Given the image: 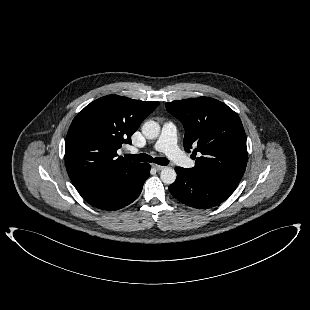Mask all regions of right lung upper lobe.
Returning a JSON list of instances; mask_svg holds the SVG:
<instances>
[{
    "label": "right lung upper lobe",
    "instance_id": "1",
    "mask_svg": "<svg viewBox=\"0 0 310 310\" xmlns=\"http://www.w3.org/2000/svg\"><path fill=\"white\" fill-rule=\"evenodd\" d=\"M158 105L108 95L77 114L66 136L65 165L78 191L125 175L141 164L118 157L117 150L123 143L131 144V135Z\"/></svg>",
    "mask_w": 310,
    "mask_h": 310
}]
</instances>
